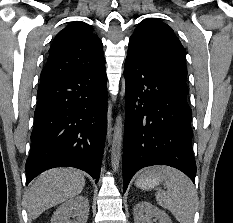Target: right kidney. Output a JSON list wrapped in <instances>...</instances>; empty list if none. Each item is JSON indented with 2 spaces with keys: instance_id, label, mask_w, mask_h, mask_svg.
<instances>
[{
  "instance_id": "1",
  "label": "right kidney",
  "mask_w": 233,
  "mask_h": 223,
  "mask_svg": "<svg viewBox=\"0 0 233 223\" xmlns=\"http://www.w3.org/2000/svg\"><path fill=\"white\" fill-rule=\"evenodd\" d=\"M89 209L88 197L75 195L57 207L51 217V223H87Z\"/></svg>"
}]
</instances>
